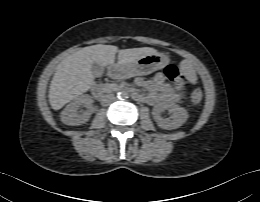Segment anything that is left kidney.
<instances>
[{
    "label": "left kidney",
    "instance_id": "left-kidney-1",
    "mask_svg": "<svg viewBox=\"0 0 260 202\" xmlns=\"http://www.w3.org/2000/svg\"><path fill=\"white\" fill-rule=\"evenodd\" d=\"M164 110H167L172 114L170 118L164 119L161 117V113ZM152 114L158 126L166 130L179 128L187 121L189 116L185 108L172 102H163L157 104L153 108Z\"/></svg>",
    "mask_w": 260,
    "mask_h": 202
}]
</instances>
